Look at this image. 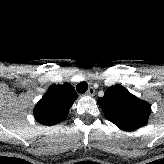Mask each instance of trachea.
<instances>
[{
    "mask_svg": "<svg viewBox=\"0 0 164 164\" xmlns=\"http://www.w3.org/2000/svg\"><path fill=\"white\" fill-rule=\"evenodd\" d=\"M88 89V84L87 82H80L77 86H76V90L79 93H85Z\"/></svg>",
    "mask_w": 164,
    "mask_h": 164,
    "instance_id": "trachea-1",
    "label": "trachea"
}]
</instances>
